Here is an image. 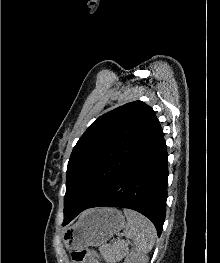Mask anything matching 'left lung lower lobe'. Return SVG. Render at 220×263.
Listing matches in <instances>:
<instances>
[{"instance_id":"obj_1","label":"left lung lower lobe","mask_w":220,"mask_h":263,"mask_svg":"<svg viewBox=\"0 0 220 263\" xmlns=\"http://www.w3.org/2000/svg\"><path fill=\"white\" fill-rule=\"evenodd\" d=\"M166 148L161 130L87 208L110 206L138 211L153 222L160 236L166 214ZM82 211L66 213L62 225H67Z\"/></svg>"}]
</instances>
